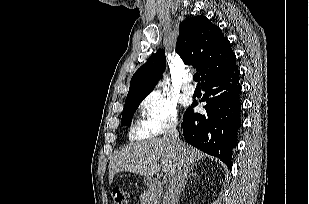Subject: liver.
<instances>
[{"mask_svg": "<svg viewBox=\"0 0 309 204\" xmlns=\"http://www.w3.org/2000/svg\"><path fill=\"white\" fill-rule=\"evenodd\" d=\"M182 152L191 168L196 161L205 156L204 153L186 143H182ZM159 159H161V165L157 164ZM178 162L179 154L166 137L130 143L114 158L109 171V183H112L115 174L120 171L151 177L162 169L172 177Z\"/></svg>", "mask_w": 309, "mask_h": 204, "instance_id": "obj_1", "label": "liver"}]
</instances>
